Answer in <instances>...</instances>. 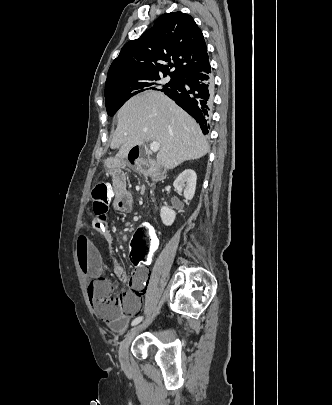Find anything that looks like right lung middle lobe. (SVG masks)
I'll return each mask as SVG.
<instances>
[{"label": "right lung middle lobe", "mask_w": 332, "mask_h": 405, "mask_svg": "<svg viewBox=\"0 0 332 405\" xmlns=\"http://www.w3.org/2000/svg\"><path fill=\"white\" fill-rule=\"evenodd\" d=\"M167 75L133 76L105 88V104L109 116H113L117 110L133 95L142 91L154 89L162 92L171 91L179 82L178 76H171L168 83H163L162 78Z\"/></svg>", "instance_id": "right-lung-middle-lobe-1"}]
</instances>
